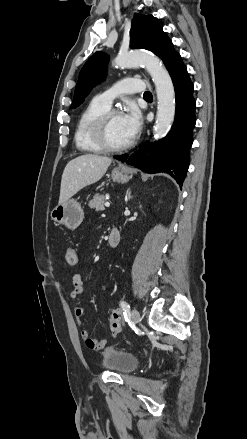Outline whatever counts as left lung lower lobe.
I'll return each instance as SVG.
<instances>
[{
    "instance_id": "obj_1",
    "label": "left lung lower lobe",
    "mask_w": 247,
    "mask_h": 439,
    "mask_svg": "<svg viewBox=\"0 0 247 439\" xmlns=\"http://www.w3.org/2000/svg\"><path fill=\"white\" fill-rule=\"evenodd\" d=\"M169 73L176 97L175 120L171 131L160 141L146 142L129 157L128 163L146 173H168L182 186L189 167L193 128L196 123L195 100L193 83L182 59ZM127 157L125 154L114 158L124 161Z\"/></svg>"
}]
</instances>
